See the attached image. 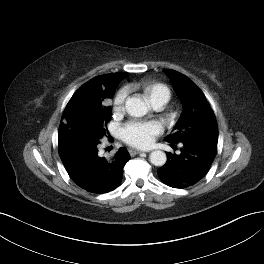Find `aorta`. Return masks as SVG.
Masks as SVG:
<instances>
[{
  "instance_id": "762f6f07",
  "label": "aorta",
  "mask_w": 264,
  "mask_h": 264,
  "mask_svg": "<svg viewBox=\"0 0 264 264\" xmlns=\"http://www.w3.org/2000/svg\"><path fill=\"white\" fill-rule=\"evenodd\" d=\"M125 108L127 113L133 117H142L148 112L146 103L136 97L127 98ZM166 160V154L161 150H155L150 153V162L155 166H163Z\"/></svg>"
}]
</instances>
